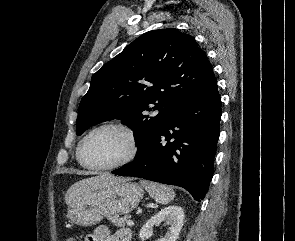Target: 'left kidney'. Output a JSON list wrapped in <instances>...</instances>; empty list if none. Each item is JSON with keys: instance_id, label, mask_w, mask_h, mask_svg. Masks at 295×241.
Instances as JSON below:
<instances>
[{"instance_id": "obj_1", "label": "left kidney", "mask_w": 295, "mask_h": 241, "mask_svg": "<svg viewBox=\"0 0 295 241\" xmlns=\"http://www.w3.org/2000/svg\"><path fill=\"white\" fill-rule=\"evenodd\" d=\"M184 210L180 206H168L152 216L140 230L141 239L149 238L153 234V227L162 222L169 225L164 237L157 241H176L183 226Z\"/></svg>"}]
</instances>
